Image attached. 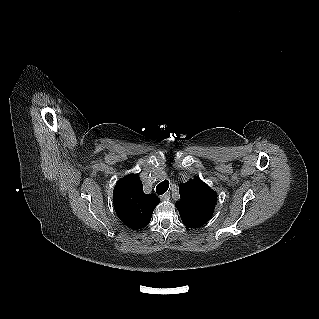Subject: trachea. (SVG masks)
<instances>
[{"mask_svg": "<svg viewBox=\"0 0 319 319\" xmlns=\"http://www.w3.org/2000/svg\"><path fill=\"white\" fill-rule=\"evenodd\" d=\"M169 188V181L164 180L163 182L159 183L156 187V193L158 195L164 194Z\"/></svg>", "mask_w": 319, "mask_h": 319, "instance_id": "3493384b", "label": "trachea"}]
</instances>
